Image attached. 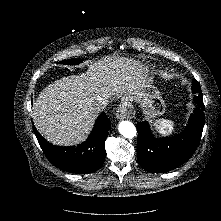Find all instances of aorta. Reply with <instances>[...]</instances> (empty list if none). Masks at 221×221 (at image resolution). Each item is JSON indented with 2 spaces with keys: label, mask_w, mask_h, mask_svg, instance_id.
<instances>
[{
  "label": "aorta",
  "mask_w": 221,
  "mask_h": 221,
  "mask_svg": "<svg viewBox=\"0 0 221 221\" xmlns=\"http://www.w3.org/2000/svg\"><path fill=\"white\" fill-rule=\"evenodd\" d=\"M118 130L125 138L132 139L136 136V127L130 121H121L118 125Z\"/></svg>",
  "instance_id": "1"
}]
</instances>
